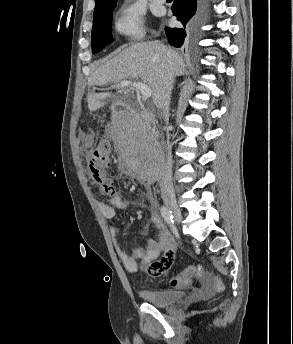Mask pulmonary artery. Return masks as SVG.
I'll list each match as a JSON object with an SVG mask.
<instances>
[{
    "instance_id": "pulmonary-artery-1",
    "label": "pulmonary artery",
    "mask_w": 293,
    "mask_h": 344,
    "mask_svg": "<svg viewBox=\"0 0 293 344\" xmlns=\"http://www.w3.org/2000/svg\"><path fill=\"white\" fill-rule=\"evenodd\" d=\"M155 4H163L165 0H151Z\"/></svg>"
}]
</instances>
